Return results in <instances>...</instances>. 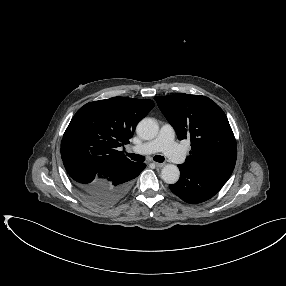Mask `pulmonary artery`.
Here are the masks:
<instances>
[{
    "label": "pulmonary artery",
    "mask_w": 286,
    "mask_h": 286,
    "mask_svg": "<svg viewBox=\"0 0 286 286\" xmlns=\"http://www.w3.org/2000/svg\"><path fill=\"white\" fill-rule=\"evenodd\" d=\"M175 135L174 128L170 124H164L154 140L134 146L132 149L139 154L161 151L172 160L181 162L184 158L183 151L176 144Z\"/></svg>",
    "instance_id": "pulmonary-artery-1"
}]
</instances>
